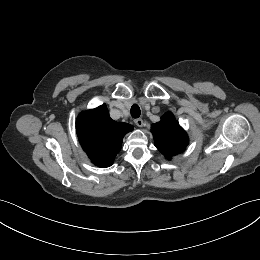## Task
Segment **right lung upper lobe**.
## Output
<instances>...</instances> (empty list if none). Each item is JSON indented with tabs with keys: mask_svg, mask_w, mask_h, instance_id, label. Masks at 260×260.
Wrapping results in <instances>:
<instances>
[{
	"mask_svg": "<svg viewBox=\"0 0 260 260\" xmlns=\"http://www.w3.org/2000/svg\"><path fill=\"white\" fill-rule=\"evenodd\" d=\"M132 130V125L112 120L105 104L81 113L76 121L80 144L99 167L113 164L122 147L123 137Z\"/></svg>",
	"mask_w": 260,
	"mask_h": 260,
	"instance_id": "right-lung-upper-lobe-1",
	"label": "right lung upper lobe"
}]
</instances>
